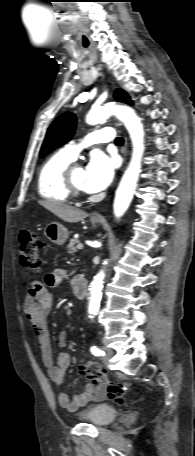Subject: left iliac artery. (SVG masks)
Segmentation results:
<instances>
[{"instance_id": "obj_1", "label": "left iliac artery", "mask_w": 195, "mask_h": 456, "mask_svg": "<svg viewBox=\"0 0 195 456\" xmlns=\"http://www.w3.org/2000/svg\"><path fill=\"white\" fill-rule=\"evenodd\" d=\"M90 351L95 356H104L105 355L104 351L100 350L97 346H92L90 348Z\"/></svg>"}]
</instances>
